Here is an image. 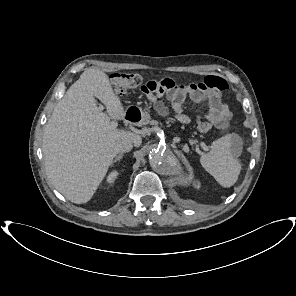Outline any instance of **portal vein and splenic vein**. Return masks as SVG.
I'll return each mask as SVG.
<instances>
[{
  "label": "portal vein and splenic vein",
  "instance_id": "obj_1",
  "mask_svg": "<svg viewBox=\"0 0 296 296\" xmlns=\"http://www.w3.org/2000/svg\"><path fill=\"white\" fill-rule=\"evenodd\" d=\"M99 108H100L101 110H103V106H100ZM111 126L115 128V127L118 126V123H117L116 121H112V122H111Z\"/></svg>",
  "mask_w": 296,
  "mask_h": 296
}]
</instances>
